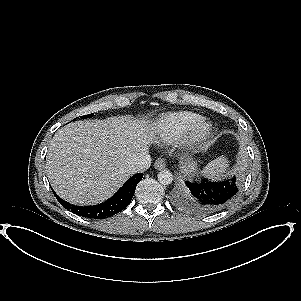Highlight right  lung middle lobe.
Instances as JSON below:
<instances>
[{
    "instance_id": "right-lung-middle-lobe-1",
    "label": "right lung middle lobe",
    "mask_w": 301,
    "mask_h": 301,
    "mask_svg": "<svg viewBox=\"0 0 301 301\" xmlns=\"http://www.w3.org/2000/svg\"><path fill=\"white\" fill-rule=\"evenodd\" d=\"M94 114H89V115H85V116H81L82 119H85V118H89V117H92Z\"/></svg>"
}]
</instances>
